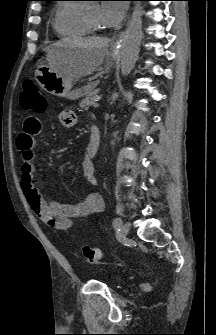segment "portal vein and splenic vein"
Here are the masks:
<instances>
[{
  "label": "portal vein and splenic vein",
  "mask_w": 216,
  "mask_h": 335,
  "mask_svg": "<svg viewBox=\"0 0 216 335\" xmlns=\"http://www.w3.org/2000/svg\"><path fill=\"white\" fill-rule=\"evenodd\" d=\"M94 107L95 108L99 107V98L95 100Z\"/></svg>",
  "instance_id": "1"
}]
</instances>
